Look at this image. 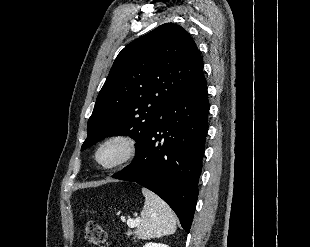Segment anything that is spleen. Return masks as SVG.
Listing matches in <instances>:
<instances>
[{
	"mask_svg": "<svg viewBox=\"0 0 310 247\" xmlns=\"http://www.w3.org/2000/svg\"><path fill=\"white\" fill-rule=\"evenodd\" d=\"M142 193L145 204L137 226L138 235L149 240L173 234L176 231V219L172 209L153 192L142 188Z\"/></svg>",
	"mask_w": 310,
	"mask_h": 247,
	"instance_id": "obj_1",
	"label": "spleen"
}]
</instances>
